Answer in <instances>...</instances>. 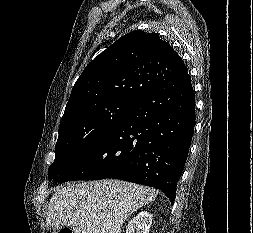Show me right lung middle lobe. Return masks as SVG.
Here are the masks:
<instances>
[{
    "label": "right lung middle lobe",
    "instance_id": "dd1d6c3e",
    "mask_svg": "<svg viewBox=\"0 0 253 233\" xmlns=\"http://www.w3.org/2000/svg\"><path fill=\"white\" fill-rule=\"evenodd\" d=\"M135 100L114 98L79 107L62 117L49 180L55 179L98 146L123 120Z\"/></svg>",
    "mask_w": 253,
    "mask_h": 233
}]
</instances>
